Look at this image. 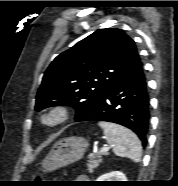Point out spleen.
I'll return each mask as SVG.
<instances>
[{
  "label": "spleen",
  "mask_w": 178,
  "mask_h": 186,
  "mask_svg": "<svg viewBox=\"0 0 178 186\" xmlns=\"http://www.w3.org/2000/svg\"><path fill=\"white\" fill-rule=\"evenodd\" d=\"M107 142L117 156L127 157L135 163L140 162L142 146L138 137L131 130L111 122H99Z\"/></svg>",
  "instance_id": "spleen-1"
}]
</instances>
